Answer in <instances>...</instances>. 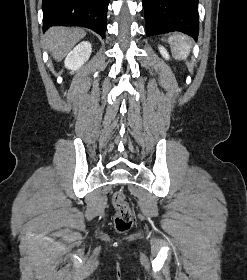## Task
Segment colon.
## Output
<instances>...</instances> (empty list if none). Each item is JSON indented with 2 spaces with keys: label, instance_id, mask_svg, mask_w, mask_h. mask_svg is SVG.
<instances>
[{
  "label": "colon",
  "instance_id": "1",
  "mask_svg": "<svg viewBox=\"0 0 247 280\" xmlns=\"http://www.w3.org/2000/svg\"><path fill=\"white\" fill-rule=\"evenodd\" d=\"M113 206L116 210L115 229L118 232H125L130 229L133 222L132 211L126 200L124 192L117 191L112 198Z\"/></svg>",
  "mask_w": 247,
  "mask_h": 280
}]
</instances>
